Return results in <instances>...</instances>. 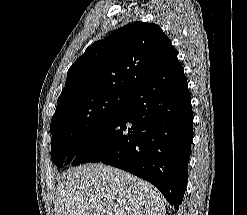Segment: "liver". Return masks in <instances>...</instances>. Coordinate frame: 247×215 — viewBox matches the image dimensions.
Wrapping results in <instances>:
<instances>
[{
	"instance_id": "1",
	"label": "liver",
	"mask_w": 247,
	"mask_h": 215,
	"mask_svg": "<svg viewBox=\"0 0 247 215\" xmlns=\"http://www.w3.org/2000/svg\"><path fill=\"white\" fill-rule=\"evenodd\" d=\"M56 215H165L164 198L152 184L104 164H86L61 177Z\"/></svg>"
}]
</instances>
